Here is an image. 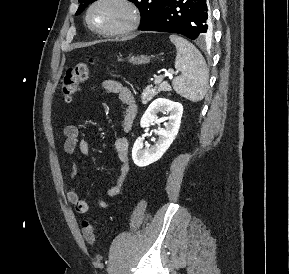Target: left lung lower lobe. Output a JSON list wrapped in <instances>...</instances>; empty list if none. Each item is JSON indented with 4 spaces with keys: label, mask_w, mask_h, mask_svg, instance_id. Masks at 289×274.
<instances>
[{
    "label": "left lung lower lobe",
    "mask_w": 289,
    "mask_h": 274,
    "mask_svg": "<svg viewBox=\"0 0 289 274\" xmlns=\"http://www.w3.org/2000/svg\"><path fill=\"white\" fill-rule=\"evenodd\" d=\"M209 21L207 0H165L155 17L139 29L177 33L201 41L211 36Z\"/></svg>",
    "instance_id": "left-lung-lower-lobe-1"
}]
</instances>
